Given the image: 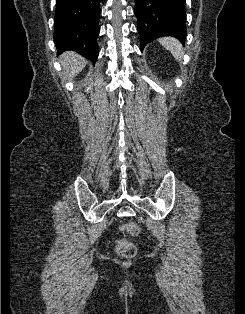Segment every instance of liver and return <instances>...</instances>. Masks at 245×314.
I'll use <instances>...</instances> for the list:
<instances>
[{"instance_id": "6515ba94", "label": "liver", "mask_w": 245, "mask_h": 314, "mask_svg": "<svg viewBox=\"0 0 245 314\" xmlns=\"http://www.w3.org/2000/svg\"><path fill=\"white\" fill-rule=\"evenodd\" d=\"M60 62L67 80H72L87 64L85 58L71 51L61 54Z\"/></svg>"}]
</instances>
